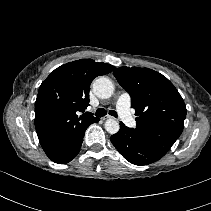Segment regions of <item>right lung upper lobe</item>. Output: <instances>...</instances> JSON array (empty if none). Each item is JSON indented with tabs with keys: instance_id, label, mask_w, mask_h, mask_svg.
Masks as SVG:
<instances>
[{
	"instance_id": "1",
	"label": "right lung upper lobe",
	"mask_w": 211,
	"mask_h": 211,
	"mask_svg": "<svg viewBox=\"0 0 211 211\" xmlns=\"http://www.w3.org/2000/svg\"><path fill=\"white\" fill-rule=\"evenodd\" d=\"M114 66L81 59L55 69L42 82L35 102V127L46 154L59 150L74 133L98 121L84 112L89 105L92 80L114 70Z\"/></svg>"
}]
</instances>
